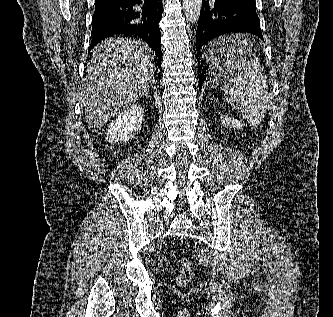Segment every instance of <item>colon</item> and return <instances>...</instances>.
I'll use <instances>...</instances> for the list:
<instances>
[{"label": "colon", "mask_w": 333, "mask_h": 317, "mask_svg": "<svg viewBox=\"0 0 333 317\" xmlns=\"http://www.w3.org/2000/svg\"><path fill=\"white\" fill-rule=\"evenodd\" d=\"M193 278V269L190 262L186 258L181 260V271L177 282L180 286H185Z\"/></svg>", "instance_id": "obj_1"}]
</instances>
